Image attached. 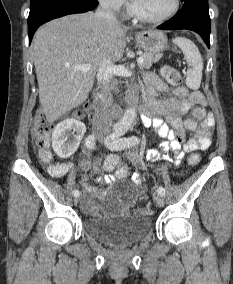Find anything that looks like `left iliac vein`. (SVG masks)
<instances>
[{"mask_svg":"<svg viewBox=\"0 0 233 284\" xmlns=\"http://www.w3.org/2000/svg\"><path fill=\"white\" fill-rule=\"evenodd\" d=\"M100 141H104L105 144L107 142V139L103 138V137H100ZM154 200L156 202V204L159 206V207H162L164 205V196L157 193L154 195Z\"/></svg>","mask_w":233,"mask_h":284,"instance_id":"4c4485c4","label":"left iliac vein"}]
</instances>
